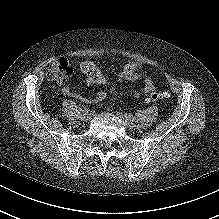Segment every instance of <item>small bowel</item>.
<instances>
[{
    "label": "small bowel",
    "mask_w": 219,
    "mask_h": 219,
    "mask_svg": "<svg viewBox=\"0 0 219 219\" xmlns=\"http://www.w3.org/2000/svg\"><path fill=\"white\" fill-rule=\"evenodd\" d=\"M134 63V62H131ZM130 64V63H129ZM136 64V63H134ZM137 65V64H136ZM81 72L83 73V75L85 76V83L88 86H93V85H98V84H102L104 82L99 80V77L102 75V73L100 72V70L95 66V64L91 61H86L84 63L81 64L80 66ZM121 78L126 79V80H142L144 82V91L145 93H150L153 91L154 89V83L153 80L150 76L145 75V74H141L138 73V71L133 74L130 77H125L124 75H121ZM62 93L65 96L74 98L76 100L82 101V102H86L89 104H96L101 102L102 100H104L105 98V93L104 92H98L96 93L93 97H84L80 94H77L75 92H73L69 86H64L62 88ZM135 97H139V94L136 93Z\"/></svg>",
    "instance_id": "small-bowel-1"
}]
</instances>
